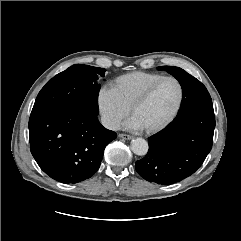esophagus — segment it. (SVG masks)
I'll return each mask as SVG.
<instances>
[{"label":"esophagus","mask_w":241,"mask_h":241,"mask_svg":"<svg viewBox=\"0 0 241 241\" xmlns=\"http://www.w3.org/2000/svg\"><path fill=\"white\" fill-rule=\"evenodd\" d=\"M118 136H119L120 138H123V139H126V140H131V139H133V136H132V135H128V134L120 133Z\"/></svg>","instance_id":"obj_1"}]
</instances>
